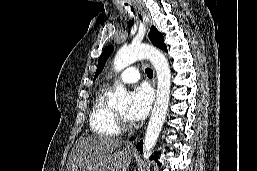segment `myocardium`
Returning a JSON list of instances; mask_svg holds the SVG:
<instances>
[{
  "instance_id": "f54148a6",
  "label": "myocardium",
  "mask_w": 257,
  "mask_h": 171,
  "mask_svg": "<svg viewBox=\"0 0 257 171\" xmlns=\"http://www.w3.org/2000/svg\"><path fill=\"white\" fill-rule=\"evenodd\" d=\"M116 122L120 130H130L134 127V124L125 116L115 110Z\"/></svg>"
}]
</instances>
